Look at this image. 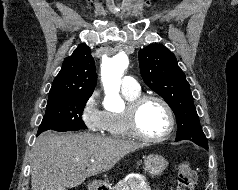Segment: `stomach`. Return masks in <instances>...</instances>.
I'll return each mask as SVG.
<instances>
[{
    "label": "stomach",
    "instance_id": "1",
    "mask_svg": "<svg viewBox=\"0 0 238 190\" xmlns=\"http://www.w3.org/2000/svg\"><path fill=\"white\" fill-rule=\"evenodd\" d=\"M145 170L147 173L152 176H159L165 170L168 165L167 160L158 154H151L145 157L144 159ZM97 184L96 182L94 183Z\"/></svg>",
    "mask_w": 238,
    "mask_h": 190
}]
</instances>
